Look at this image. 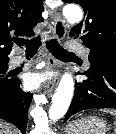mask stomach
<instances>
[{
	"mask_svg": "<svg viewBox=\"0 0 116 134\" xmlns=\"http://www.w3.org/2000/svg\"><path fill=\"white\" fill-rule=\"evenodd\" d=\"M107 130V124L103 119L90 116L69 124L66 134H106Z\"/></svg>",
	"mask_w": 116,
	"mask_h": 134,
	"instance_id": "obj_1",
	"label": "stomach"
}]
</instances>
